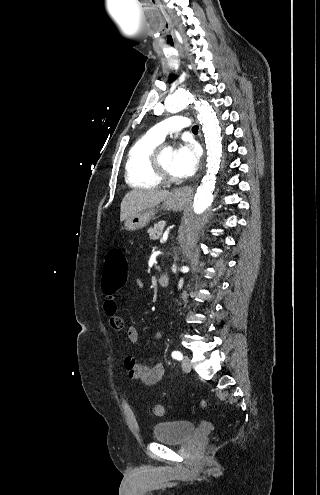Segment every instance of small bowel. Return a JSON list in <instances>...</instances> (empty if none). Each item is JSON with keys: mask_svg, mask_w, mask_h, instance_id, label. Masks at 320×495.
I'll list each match as a JSON object with an SVG mask.
<instances>
[{"mask_svg": "<svg viewBox=\"0 0 320 495\" xmlns=\"http://www.w3.org/2000/svg\"><path fill=\"white\" fill-rule=\"evenodd\" d=\"M136 284L139 287L142 286V283L139 280H137ZM103 310L104 313L108 316L110 325L113 329L121 330L124 327L123 320L118 313L115 292L106 293V297L103 303ZM126 334L128 340L132 344L138 343L140 335L136 327L128 326ZM163 335V330L159 329L156 331L157 339H162ZM124 365L130 378L140 380L147 386L158 383L162 379L165 372V368L162 363H158L153 367H148L143 364L137 363L135 357L131 355L125 357Z\"/></svg>", "mask_w": 320, "mask_h": 495, "instance_id": "c3829d8e", "label": "small bowel"}]
</instances>
